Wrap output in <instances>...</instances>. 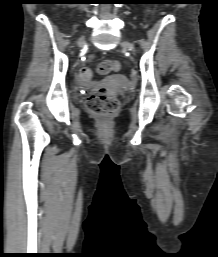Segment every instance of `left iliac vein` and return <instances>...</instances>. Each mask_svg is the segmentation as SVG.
Wrapping results in <instances>:
<instances>
[{
    "label": "left iliac vein",
    "mask_w": 218,
    "mask_h": 257,
    "mask_svg": "<svg viewBox=\"0 0 218 257\" xmlns=\"http://www.w3.org/2000/svg\"><path fill=\"white\" fill-rule=\"evenodd\" d=\"M121 46L124 47V48H126V49H128V50H130V51H135V47L133 46V44H131V43L128 42V41H123V42L121 43Z\"/></svg>",
    "instance_id": "4c4485c4"
}]
</instances>
